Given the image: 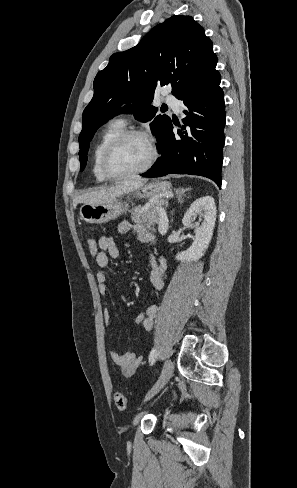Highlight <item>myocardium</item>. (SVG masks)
<instances>
[{
  "mask_svg": "<svg viewBox=\"0 0 297 488\" xmlns=\"http://www.w3.org/2000/svg\"><path fill=\"white\" fill-rule=\"evenodd\" d=\"M132 137H142L146 139L151 148V155L147 163L142 166L141 168L134 170L129 173L125 174H116L113 173L110 169L109 166V160L113 152L127 139L132 138ZM158 147L155 142V140L145 131L143 130H136V129H131V130H124L122 133H120L117 137H115L105 148L102 158H101V169L103 174L109 179V180H122L126 178H131L134 176H137L139 174L147 172L157 161L158 159Z\"/></svg>",
  "mask_w": 297,
  "mask_h": 488,
  "instance_id": "1",
  "label": "myocardium"
}]
</instances>
